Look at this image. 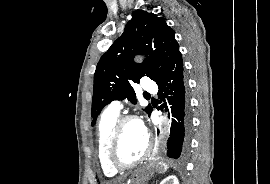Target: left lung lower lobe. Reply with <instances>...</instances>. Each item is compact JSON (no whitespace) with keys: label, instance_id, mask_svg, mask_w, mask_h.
I'll use <instances>...</instances> for the list:
<instances>
[{"label":"left lung lower lobe","instance_id":"obj_1","mask_svg":"<svg viewBox=\"0 0 270 184\" xmlns=\"http://www.w3.org/2000/svg\"><path fill=\"white\" fill-rule=\"evenodd\" d=\"M158 96L166 101L160 109L169 107L171 114L170 137L166 154L177 164L182 163L188 155L192 121L190 103L183 74L182 55L180 51L174 56L165 73L156 81Z\"/></svg>","mask_w":270,"mask_h":184}]
</instances>
